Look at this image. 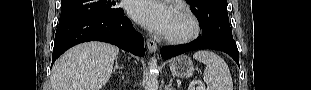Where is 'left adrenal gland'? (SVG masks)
<instances>
[{"mask_svg":"<svg viewBox=\"0 0 311 90\" xmlns=\"http://www.w3.org/2000/svg\"><path fill=\"white\" fill-rule=\"evenodd\" d=\"M165 90H175V89L172 87V78L170 79L169 84L165 87Z\"/></svg>","mask_w":311,"mask_h":90,"instance_id":"obj_1","label":"left adrenal gland"}]
</instances>
